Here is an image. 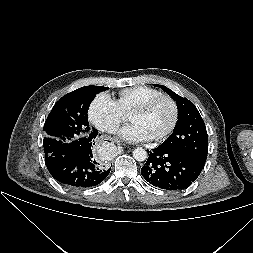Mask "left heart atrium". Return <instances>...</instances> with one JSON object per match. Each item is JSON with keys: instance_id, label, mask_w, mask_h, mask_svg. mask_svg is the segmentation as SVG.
Wrapping results in <instances>:
<instances>
[{"instance_id": "39dd6f15", "label": "left heart atrium", "mask_w": 253, "mask_h": 253, "mask_svg": "<svg viewBox=\"0 0 253 253\" xmlns=\"http://www.w3.org/2000/svg\"><path fill=\"white\" fill-rule=\"evenodd\" d=\"M120 137L130 142H144L151 140L150 135L137 123L125 126L119 133Z\"/></svg>"}]
</instances>
